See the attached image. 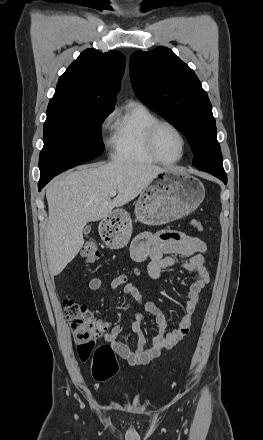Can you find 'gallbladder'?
<instances>
[{
	"mask_svg": "<svg viewBox=\"0 0 263 440\" xmlns=\"http://www.w3.org/2000/svg\"><path fill=\"white\" fill-rule=\"evenodd\" d=\"M90 231H91V227H90V226H86V227L83 229V233H84L85 235L89 234Z\"/></svg>",
	"mask_w": 263,
	"mask_h": 440,
	"instance_id": "obj_1",
	"label": "gallbladder"
}]
</instances>
